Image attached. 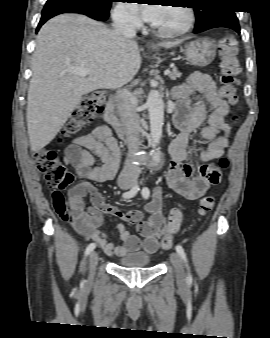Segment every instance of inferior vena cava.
<instances>
[{
	"label": "inferior vena cava",
	"instance_id": "inferior-vena-cava-1",
	"mask_svg": "<svg viewBox=\"0 0 270 338\" xmlns=\"http://www.w3.org/2000/svg\"><path fill=\"white\" fill-rule=\"evenodd\" d=\"M114 33L121 37L133 38L136 36L134 21L125 13H116L113 22ZM118 113L126 136L129 150V158L119 175L120 181L136 180L140 173V168L132 163L133 153L139 150L140 124L139 116L135 111L133 96L127 89H120L116 92Z\"/></svg>",
	"mask_w": 270,
	"mask_h": 338
}]
</instances>
